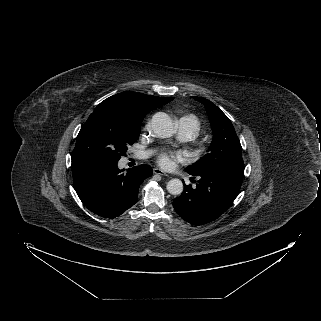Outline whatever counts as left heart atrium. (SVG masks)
Listing matches in <instances>:
<instances>
[{"label":"left heart atrium","mask_w":321,"mask_h":321,"mask_svg":"<svg viewBox=\"0 0 321 321\" xmlns=\"http://www.w3.org/2000/svg\"><path fill=\"white\" fill-rule=\"evenodd\" d=\"M183 152H164L159 156L158 162L164 168H170L175 160H183L185 158Z\"/></svg>","instance_id":"obj_1"}]
</instances>
